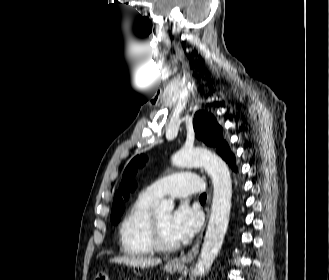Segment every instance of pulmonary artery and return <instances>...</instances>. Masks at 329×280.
<instances>
[{"instance_id": "e3ab8cb5", "label": "pulmonary artery", "mask_w": 329, "mask_h": 280, "mask_svg": "<svg viewBox=\"0 0 329 280\" xmlns=\"http://www.w3.org/2000/svg\"><path fill=\"white\" fill-rule=\"evenodd\" d=\"M203 190L204 186L199 176L187 171L163 177L146 189L149 194L156 198L167 194L174 197H186L201 193Z\"/></svg>"}]
</instances>
